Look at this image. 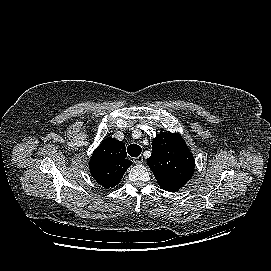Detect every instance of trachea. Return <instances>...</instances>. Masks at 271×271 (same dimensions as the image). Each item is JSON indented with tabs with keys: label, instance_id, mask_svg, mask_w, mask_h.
Masks as SVG:
<instances>
[{
	"label": "trachea",
	"instance_id": "1",
	"mask_svg": "<svg viewBox=\"0 0 271 271\" xmlns=\"http://www.w3.org/2000/svg\"><path fill=\"white\" fill-rule=\"evenodd\" d=\"M141 147L137 144H131L127 147V152L131 157H138L141 154Z\"/></svg>",
	"mask_w": 271,
	"mask_h": 271
}]
</instances>
